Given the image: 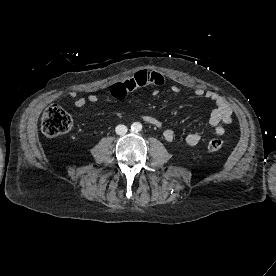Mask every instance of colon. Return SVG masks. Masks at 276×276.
Instances as JSON below:
<instances>
[{
  "instance_id": "5ec220e1",
  "label": "colon",
  "mask_w": 276,
  "mask_h": 276,
  "mask_svg": "<svg viewBox=\"0 0 276 276\" xmlns=\"http://www.w3.org/2000/svg\"><path fill=\"white\" fill-rule=\"evenodd\" d=\"M72 127L71 116L59 105L49 106L42 116L41 128L48 137H55L68 132ZM224 142L221 138H212L205 144V149L209 152L222 150Z\"/></svg>"
}]
</instances>
